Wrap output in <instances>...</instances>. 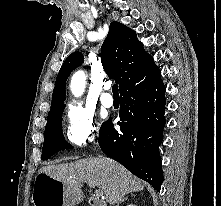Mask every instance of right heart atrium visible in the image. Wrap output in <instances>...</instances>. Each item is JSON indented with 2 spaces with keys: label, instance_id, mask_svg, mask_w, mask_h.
I'll return each mask as SVG.
<instances>
[{
  "label": "right heart atrium",
  "instance_id": "1",
  "mask_svg": "<svg viewBox=\"0 0 221 206\" xmlns=\"http://www.w3.org/2000/svg\"><path fill=\"white\" fill-rule=\"evenodd\" d=\"M68 141L77 147H82L96 136L94 115L90 109L80 102H71L66 107Z\"/></svg>",
  "mask_w": 221,
  "mask_h": 206
}]
</instances>
